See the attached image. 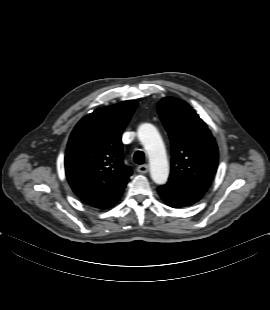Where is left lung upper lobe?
Instances as JSON below:
<instances>
[{"label":"left lung upper lobe","mask_w":270,"mask_h":310,"mask_svg":"<svg viewBox=\"0 0 270 310\" xmlns=\"http://www.w3.org/2000/svg\"><path fill=\"white\" fill-rule=\"evenodd\" d=\"M158 112L172 144L169 181L207 190L218 167V149L206 123L178 98H163Z\"/></svg>","instance_id":"5c2ea615"}]
</instances>
